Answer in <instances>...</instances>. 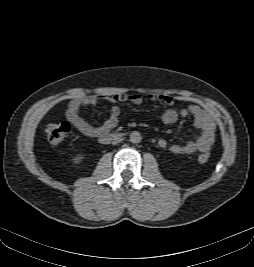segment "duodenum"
Wrapping results in <instances>:
<instances>
[{"label":"duodenum","instance_id":"1","mask_svg":"<svg viewBox=\"0 0 254 267\" xmlns=\"http://www.w3.org/2000/svg\"><path fill=\"white\" fill-rule=\"evenodd\" d=\"M117 136H119V134H116V133L106 134L103 137H101V141L107 142V141H110V140L116 138Z\"/></svg>","mask_w":254,"mask_h":267}]
</instances>
